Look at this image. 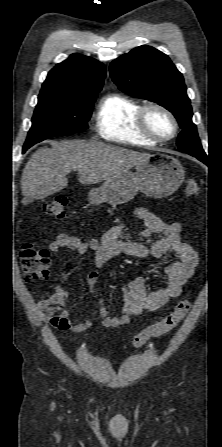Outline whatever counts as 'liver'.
<instances>
[{"label": "liver", "mask_w": 222, "mask_h": 447, "mask_svg": "<svg viewBox=\"0 0 222 447\" xmlns=\"http://www.w3.org/2000/svg\"><path fill=\"white\" fill-rule=\"evenodd\" d=\"M52 148L33 153L23 169L21 191L23 204L44 199L68 186V175L77 171L82 184H96L111 179L150 157L149 153L105 145L100 142H53Z\"/></svg>", "instance_id": "6515ba94"}]
</instances>
